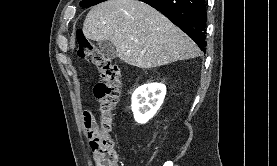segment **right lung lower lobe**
I'll list each match as a JSON object with an SVG mask.
<instances>
[{"label": "right lung lower lobe", "mask_w": 277, "mask_h": 166, "mask_svg": "<svg viewBox=\"0 0 277 166\" xmlns=\"http://www.w3.org/2000/svg\"><path fill=\"white\" fill-rule=\"evenodd\" d=\"M164 14L206 52L205 0H140Z\"/></svg>", "instance_id": "right-lung-lower-lobe-1"}]
</instances>
